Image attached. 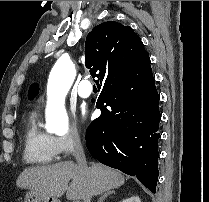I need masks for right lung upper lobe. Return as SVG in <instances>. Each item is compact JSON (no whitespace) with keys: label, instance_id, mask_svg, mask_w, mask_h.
Listing matches in <instances>:
<instances>
[{"label":"right lung upper lobe","instance_id":"right-lung-upper-lobe-1","mask_svg":"<svg viewBox=\"0 0 209 202\" xmlns=\"http://www.w3.org/2000/svg\"><path fill=\"white\" fill-rule=\"evenodd\" d=\"M85 65L103 88L118 89L144 77L150 58L132 28L108 21L87 35Z\"/></svg>","mask_w":209,"mask_h":202}]
</instances>
